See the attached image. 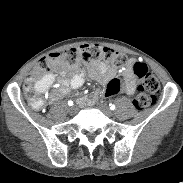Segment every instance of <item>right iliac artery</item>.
Masks as SVG:
<instances>
[{"instance_id":"right-iliac-artery-1","label":"right iliac artery","mask_w":183,"mask_h":183,"mask_svg":"<svg viewBox=\"0 0 183 183\" xmlns=\"http://www.w3.org/2000/svg\"><path fill=\"white\" fill-rule=\"evenodd\" d=\"M68 105H69V106H72V105H73V101H72V100H69V101H68Z\"/></svg>"}]
</instances>
